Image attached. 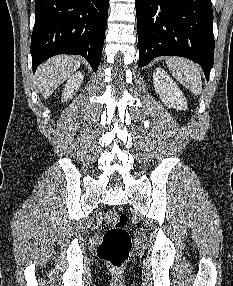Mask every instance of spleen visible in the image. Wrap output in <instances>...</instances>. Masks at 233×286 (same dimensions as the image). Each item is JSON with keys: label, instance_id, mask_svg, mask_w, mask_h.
I'll return each mask as SVG.
<instances>
[{"label": "spleen", "instance_id": "obj_1", "mask_svg": "<svg viewBox=\"0 0 233 286\" xmlns=\"http://www.w3.org/2000/svg\"><path fill=\"white\" fill-rule=\"evenodd\" d=\"M166 64L178 82L193 94H201V70L197 64L182 57H168L166 58Z\"/></svg>", "mask_w": 233, "mask_h": 286}]
</instances>
